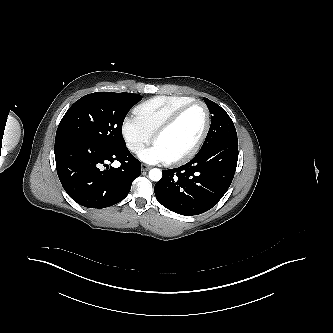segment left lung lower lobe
I'll return each mask as SVG.
<instances>
[{
	"label": "left lung lower lobe",
	"instance_id": "1",
	"mask_svg": "<svg viewBox=\"0 0 333 333\" xmlns=\"http://www.w3.org/2000/svg\"><path fill=\"white\" fill-rule=\"evenodd\" d=\"M238 144L221 143L200 150L187 164L162 170L155 185L158 202L181 215L193 216L214 207L227 192L237 166Z\"/></svg>",
	"mask_w": 333,
	"mask_h": 333
}]
</instances>
